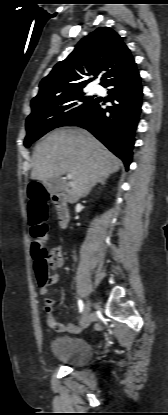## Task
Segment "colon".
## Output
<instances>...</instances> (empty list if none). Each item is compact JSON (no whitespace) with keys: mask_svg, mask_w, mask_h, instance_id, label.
Instances as JSON below:
<instances>
[{"mask_svg":"<svg viewBox=\"0 0 168 415\" xmlns=\"http://www.w3.org/2000/svg\"><path fill=\"white\" fill-rule=\"evenodd\" d=\"M28 194V216L32 237L31 250L35 271L41 286H44L51 277L49 276V268L52 263V255L44 244L48 231L45 221L48 212L49 196L39 184L30 185ZM96 328H101L99 323L96 324Z\"/></svg>","mask_w":168,"mask_h":415,"instance_id":"5ec220e1","label":"colon"}]
</instances>
